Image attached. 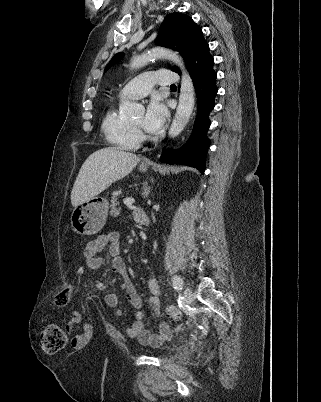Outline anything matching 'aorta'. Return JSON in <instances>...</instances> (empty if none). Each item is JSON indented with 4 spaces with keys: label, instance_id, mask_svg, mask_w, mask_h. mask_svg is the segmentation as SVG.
Instances as JSON below:
<instances>
[{
    "label": "aorta",
    "instance_id": "obj_1",
    "mask_svg": "<svg viewBox=\"0 0 321 402\" xmlns=\"http://www.w3.org/2000/svg\"><path fill=\"white\" fill-rule=\"evenodd\" d=\"M158 58L171 60L182 71L179 103L175 117L172 121L168 135L170 138L177 137L187 125L193 112L195 104V91L192 79L185 69L181 56L175 51L163 47H155L141 55L134 56L131 61V68L138 69L147 65L150 61ZM142 106L136 103L126 102L120 106V110L130 116H135L142 110Z\"/></svg>",
    "mask_w": 321,
    "mask_h": 402
}]
</instances>
